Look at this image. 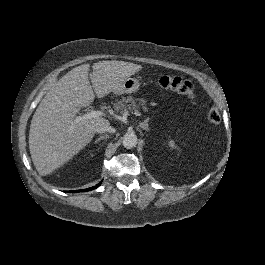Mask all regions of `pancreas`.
I'll return each mask as SVG.
<instances>
[{
    "label": "pancreas",
    "mask_w": 265,
    "mask_h": 265,
    "mask_svg": "<svg viewBox=\"0 0 265 265\" xmlns=\"http://www.w3.org/2000/svg\"><path fill=\"white\" fill-rule=\"evenodd\" d=\"M138 102V104H137ZM146 101L144 99L133 98L132 96L122 97L121 100L117 101L113 104L114 110L120 112L121 114L126 113L128 110H138L139 106H142L144 111H148L147 107L145 106Z\"/></svg>",
    "instance_id": "pancreas-1"
}]
</instances>
